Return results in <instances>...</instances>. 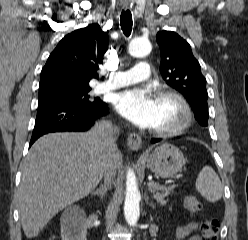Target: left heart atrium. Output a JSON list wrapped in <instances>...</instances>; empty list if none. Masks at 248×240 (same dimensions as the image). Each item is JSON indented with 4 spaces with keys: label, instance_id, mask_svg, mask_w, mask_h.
I'll return each mask as SVG.
<instances>
[{
    "label": "left heart atrium",
    "instance_id": "39dd6f15",
    "mask_svg": "<svg viewBox=\"0 0 248 240\" xmlns=\"http://www.w3.org/2000/svg\"><path fill=\"white\" fill-rule=\"evenodd\" d=\"M119 114L142 128H154L158 121L157 97L147 89L130 88L117 95Z\"/></svg>",
    "mask_w": 248,
    "mask_h": 240
}]
</instances>
